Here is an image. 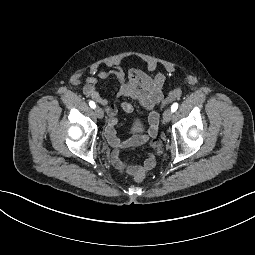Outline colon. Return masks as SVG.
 <instances>
[{
    "instance_id": "colon-1",
    "label": "colon",
    "mask_w": 255,
    "mask_h": 255,
    "mask_svg": "<svg viewBox=\"0 0 255 255\" xmlns=\"http://www.w3.org/2000/svg\"><path fill=\"white\" fill-rule=\"evenodd\" d=\"M182 90L180 87H176L174 88L169 94L168 96L162 101V106H166L170 103H172L173 101H175L176 99H178L181 96ZM146 171L144 170H140L137 171L134 175H133V179L140 183L143 182L146 179Z\"/></svg>"
}]
</instances>
